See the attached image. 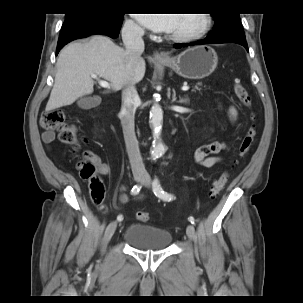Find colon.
<instances>
[{"label": "colon", "mask_w": 303, "mask_h": 303, "mask_svg": "<svg viewBox=\"0 0 303 303\" xmlns=\"http://www.w3.org/2000/svg\"><path fill=\"white\" fill-rule=\"evenodd\" d=\"M233 89L240 102L244 106L250 108L252 104L251 97L240 79H234ZM250 119L251 124L249 125L248 131L237 150L239 157H245L248 155L252 143L258 133V126L255 122V115L253 113L250 114ZM40 125L43 129L57 132L60 140L63 143L70 145L74 150L79 149L76 129L67 123L65 114L62 110L54 109L45 111L41 117ZM96 164L97 160L95 156L86 151L83 153V160L78 163V169L81 176L89 181V190L92 201L94 203H101L105 198V187L103 181L97 175ZM228 177V173H223L214 181L210 190V195L212 197H215L220 193L227 183ZM136 217L139 221L145 222L149 220L150 215L146 211H138Z\"/></svg>", "instance_id": "obj_1"}]
</instances>
